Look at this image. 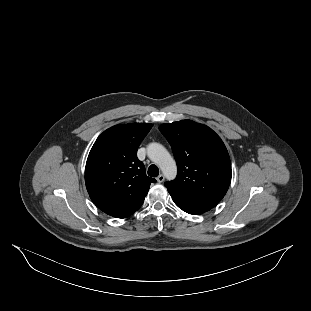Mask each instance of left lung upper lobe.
<instances>
[{
  "mask_svg": "<svg viewBox=\"0 0 311 311\" xmlns=\"http://www.w3.org/2000/svg\"><path fill=\"white\" fill-rule=\"evenodd\" d=\"M172 147L178 174L165 182L169 193L216 206L231 182V162L221 138L209 127L191 120L159 127Z\"/></svg>",
  "mask_w": 311,
  "mask_h": 311,
  "instance_id": "1",
  "label": "left lung upper lobe"
}]
</instances>
